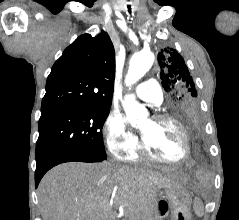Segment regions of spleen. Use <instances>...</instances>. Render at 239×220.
I'll return each instance as SVG.
<instances>
[{
  "instance_id": "obj_1",
  "label": "spleen",
  "mask_w": 239,
  "mask_h": 220,
  "mask_svg": "<svg viewBox=\"0 0 239 220\" xmlns=\"http://www.w3.org/2000/svg\"><path fill=\"white\" fill-rule=\"evenodd\" d=\"M194 210L198 217L203 216V205L199 198H195L194 200Z\"/></svg>"
}]
</instances>
